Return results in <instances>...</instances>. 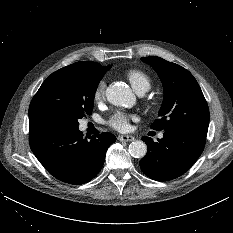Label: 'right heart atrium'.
<instances>
[{
  "label": "right heart atrium",
  "instance_id": "right-heart-atrium-1",
  "mask_svg": "<svg viewBox=\"0 0 233 233\" xmlns=\"http://www.w3.org/2000/svg\"><path fill=\"white\" fill-rule=\"evenodd\" d=\"M105 88L106 84L104 81H99L98 84L96 85V88L94 90V100L95 101H101L104 99L105 96Z\"/></svg>",
  "mask_w": 233,
  "mask_h": 233
}]
</instances>
